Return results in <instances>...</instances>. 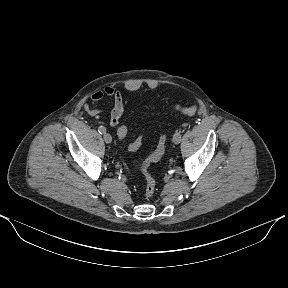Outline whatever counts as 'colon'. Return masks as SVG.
<instances>
[{"instance_id": "1", "label": "colon", "mask_w": 288, "mask_h": 288, "mask_svg": "<svg viewBox=\"0 0 288 288\" xmlns=\"http://www.w3.org/2000/svg\"><path fill=\"white\" fill-rule=\"evenodd\" d=\"M175 109L180 113L188 116H192L197 112L196 106H180L176 105ZM119 138L124 139L127 135V128L126 126H122L119 132ZM165 136L161 135L156 146V149L152 154H150L142 164V170L145 175L146 180V187H145V196L150 198L153 196L155 189H156V181L153 175L150 173V165L154 162H157L162 157L165 151ZM142 144V137H138L135 139L130 145L129 150L135 151L137 150Z\"/></svg>"}]
</instances>
